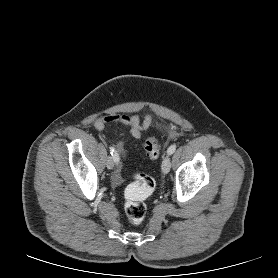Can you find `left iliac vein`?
I'll list each match as a JSON object with an SVG mask.
<instances>
[{
  "label": "left iliac vein",
  "instance_id": "1",
  "mask_svg": "<svg viewBox=\"0 0 278 278\" xmlns=\"http://www.w3.org/2000/svg\"><path fill=\"white\" fill-rule=\"evenodd\" d=\"M171 159L169 156H166L162 162L161 169L164 174H167L170 171Z\"/></svg>",
  "mask_w": 278,
  "mask_h": 278
}]
</instances>
